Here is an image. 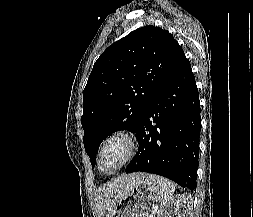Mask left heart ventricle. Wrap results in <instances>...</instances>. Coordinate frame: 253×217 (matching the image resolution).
<instances>
[{
	"label": "left heart ventricle",
	"mask_w": 253,
	"mask_h": 217,
	"mask_svg": "<svg viewBox=\"0 0 253 217\" xmlns=\"http://www.w3.org/2000/svg\"><path fill=\"white\" fill-rule=\"evenodd\" d=\"M124 145L121 142L112 143L103 153L101 169L104 172L112 171L124 155Z\"/></svg>",
	"instance_id": "b2bd125f"
}]
</instances>
